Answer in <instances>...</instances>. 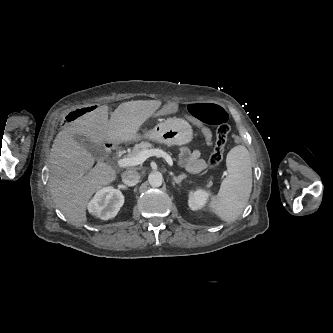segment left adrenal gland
Instances as JSON below:
<instances>
[{"label":"left adrenal gland","mask_w":333,"mask_h":333,"mask_svg":"<svg viewBox=\"0 0 333 333\" xmlns=\"http://www.w3.org/2000/svg\"><path fill=\"white\" fill-rule=\"evenodd\" d=\"M187 176L185 174L179 175L178 177L173 176V180L176 184H180Z\"/></svg>","instance_id":"1"}]
</instances>
